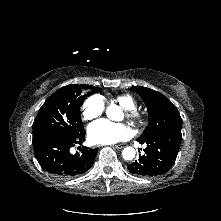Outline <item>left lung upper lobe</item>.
Wrapping results in <instances>:
<instances>
[{
	"mask_svg": "<svg viewBox=\"0 0 221 221\" xmlns=\"http://www.w3.org/2000/svg\"><path fill=\"white\" fill-rule=\"evenodd\" d=\"M130 89L141 96L149 115V125L138 139H144L159 132L181 133L182 118L168 98L155 90L142 86H134Z\"/></svg>",
	"mask_w": 221,
	"mask_h": 221,
	"instance_id": "left-lung-upper-lobe-1",
	"label": "left lung upper lobe"
}]
</instances>
